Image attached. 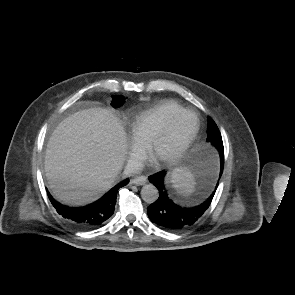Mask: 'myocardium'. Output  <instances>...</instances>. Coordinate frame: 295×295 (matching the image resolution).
Here are the masks:
<instances>
[{"label": "myocardium", "instance_id": "obj_1", "mask_svg": "<svg viewBox=\"0 0 295 295\" xmlns=\"http://www.w3.org/2000/svg\"><path fill=\"white\" fill-rule=\"evenodd\" d=\"M184 117L192 118V127L190 131L185 136L181 144L174 149L171 153L159 156L158 151L164 142V140L170 135L173 131L175 125ZM199 131V120L197 115L190 110H182L177 113L165 126L160 130L152 141L148 145V157L158 166L170 165L178 162L189 150L193 144Z\"/></svg>", "mask_w": 295, "mask_h": 295}]
</instances>
